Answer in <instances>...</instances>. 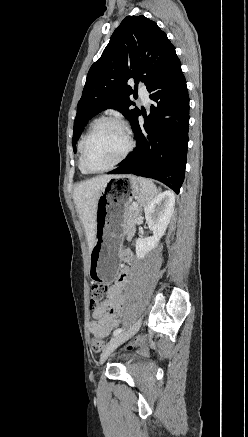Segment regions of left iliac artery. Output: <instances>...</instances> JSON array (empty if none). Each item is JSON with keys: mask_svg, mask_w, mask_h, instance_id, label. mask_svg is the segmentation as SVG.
<instances>
[{"mask_svg": "<svg viewBox=\"0 0 248 437\" xmlns=\"http://www.w3.org/2000/svg\"><path fill=\"white\" fill-rule=\"evenodd\" d=\"M123 332V329L122 328H118V329H116L114 332H113V336H116V335H118V334H120V333H122Z\"/></svg>", "mask_w": 248, "mask_h": 437, "instance_id": "44dca946", "label": "left iliac artery"}]
</instances>
